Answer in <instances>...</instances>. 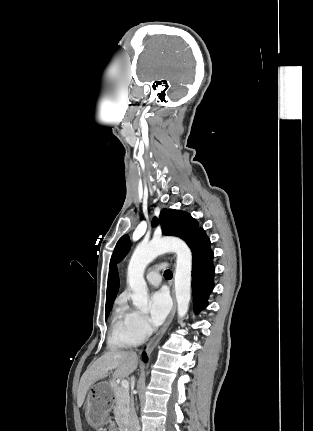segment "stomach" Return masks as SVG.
I'll return each instance as SVG.
<instances>
[{
	"label": "stomach",
	"instance_id": "obj_1",
	"mask_svg": "<svg viewBox=\"0 0 313 431\" xmlns=\"http://www.w3.org/2000/svg\"><path fill=\"white\" fill-rule=\"evenodd\" d=\"M115 385L111 382H99L91 386L86 400V419L93 427L107 423L113 408Z\"/></svg>",
	"mask_w": 313,
	"mask_h": 431
}]
</instances>
